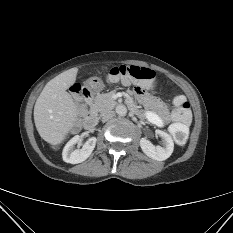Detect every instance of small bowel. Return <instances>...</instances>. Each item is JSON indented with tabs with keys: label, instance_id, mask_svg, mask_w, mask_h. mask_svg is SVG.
<instances>
[{
	"label": "small bowel",
	"instance_id": "1",
	"mask_svg": "<svg viewBox=\"0 0 233 233\" xmlns=\"http://www.w3.org/2000/svg\"><path fill=\"white\" fill-rule=\"evenodd\" d=\"M135 92L139 100L147 107V119L156 126L164 127L169 119L166 106L158 99L148 95L140 86L136 87Z\"/></svg>",
	"mask_w": 233,
	"mask_h": 233
}]
</instances>
